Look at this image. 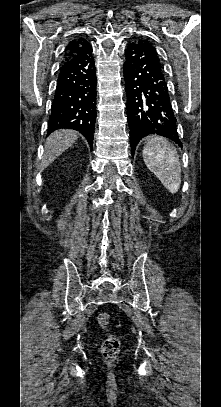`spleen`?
<instances>
[{
	"instance_id": "1",
	"label": "spleen",
	"mask_w": 221,
	"mask_h": 407,
	"mask_svg": "<svg viewBox=\"0 0 221 407\" xmlns=\"http://www.w3.org/2000/svg\"><path fill=\"white\" fill-rule=\"evenodd\" d=\"M143 160L163 186L175 194L181 184V165L177 150L163 137L150 138L143 149Z\"/></svg>"
}]
</instances>
